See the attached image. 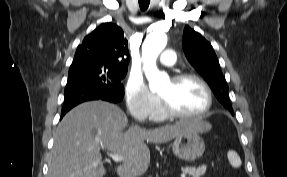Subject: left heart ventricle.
<instances>
[{
  "label": "left heart ventricle",
  "instance_id": "obj_1",
  "mask_svg": "<svg viewBox=\"0 0 287 177\" xmlns=\"http://www.w3.org/2000/svg\"><path fill=\"white\" fill-rule=\"evenodd\" d=\"M158 95L166 99L174 110L186 114L199 113L207 102L204 90L193 80L179 84L170 80L159 90Z\"/></svg>",
  "mask_w": 287,
  "mask_h": 177
}]
</instances>
